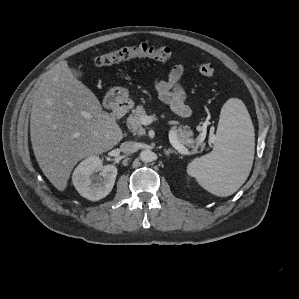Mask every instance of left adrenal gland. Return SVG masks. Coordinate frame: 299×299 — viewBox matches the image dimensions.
Listing matches in <instances>:
<instances>
[{
	"label": "left adrenal gland",
	"mask_w": 299,
	"mask_h": 299,
	"mask_svg": "<svg viewBox=\"0 0 299 299\" xmlns=\"http://www.w3.org/2000/svg\"><path fill=\"white\" fill-rule=\"evenodd\" d=\"M164 153L165 155L169 156L170 153H174V154H177V152L173 149H164Z\"/></svg>",
	"instance_id": "a2214340"
}]
</instances>
